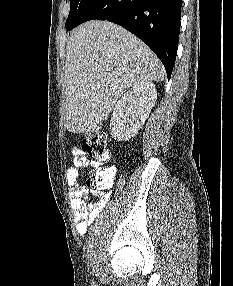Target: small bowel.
Returning a JSON list of instances; mask_svg holds the SVG:
<instances>
[{
    "mask_svg": "<svg viewBox=\"0 0 233 286\" xmlns=\"http://www.w3.org/2000/svg\"><path fill=\"white\" fill-rule=\"evenodd\" d=\"M73 166L67 170V182L69 188L70 206L72 208L73 220L80 235H84L95 218L105 208L109 199V193L95 189H89L80 182L81 168L96 165L97 162L88 159L86 154L79 148L73 151ZM114 175L115 167H111ZM90 195L98 197L96 201L90 200Z\"/></svg>",
    "mask_w": 233,
    "mask_h": 286,
    "instance_id": "small-bowel-1",
    "label": "small bowel"
}]
</instances>
